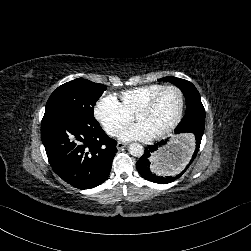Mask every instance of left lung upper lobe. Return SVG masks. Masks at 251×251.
<instances>
[{
  "label": "left lung upper lobe",
  "instance_id": "5c2ea615",
  "mask_svg": "<svg viewBox=\"0 0 251 251\" xmlns=\"http://www.w3.org/2000/svg\"><path fill=\"white\" fill-rule=\"evenodd\" d=\"M159 81H168L170 83H173L177 87L180 88V90L183 92L185 98H186V114L184 118L182 119L180 124H197L200 126H205V117H191L189 116L190 111L197 110L201 113H205L204 107L202 105L199 92L197 91L196 87L189 81L176 78L173 76H168L165 78L159 79Z\"/></svg>",
  "mask_w": 251,
  "mask_h": 251
}]
</instances>
